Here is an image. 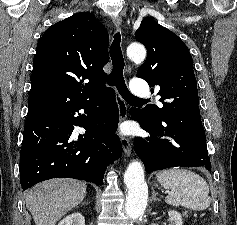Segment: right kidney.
<instances>
[{
    "mask_svg": "<svg viewBox=\"0 0 237 225\" xmlns=\"http://www.w3.org/2000/svg\"><path fill=\"white\" fill-rule=\"evenodd\" d=\"M58 225H85V219L82 214L75 212L66 216Z\"/></svg>",
    "mask_w": 237,
    "mask_h": 225,
    "instance_id": "1",
    "label": "right kidney"
}]
</instances>
